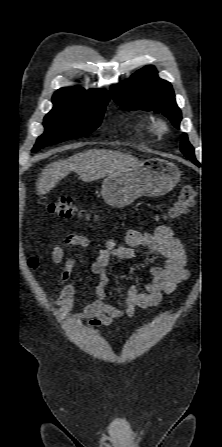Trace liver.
<instances>
[{
    "label": "liver",
    "instance_id": "6515ba94",
    "mask_svg": "<svg viewBox=\"0 0 222 447\" xmlns=\"http://www.w3.org/2000/svg\"><path fill=\"white\" fill-rule=\"evenodd\" d=\"M139 164L137 158L118 151L104 149L83 151L47 165L38 177L37 194H47L72 171L84 182H90L118 171L136 168Z\"/></svg>",
    "mask_w": 222,
    "mask_h": 447
}]
</instances>
